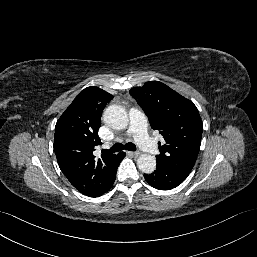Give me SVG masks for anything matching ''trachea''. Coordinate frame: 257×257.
<instances>
[{"mask_svg":"<svg viewBox=\"0 0 257 257\" xmlns=\"http://www.w3.org/2000/svg\"><path fill=\"white\" fill-rule=\"evenodd\" d=\"M123 149L128 151H136V146L131 142L126 143L125 145H123L122 143H116L109 150H105V153L119 152V151H122Z\"/></svg>","mask_w":257,"mask_h":257,"instance_id":"1","label":"trachea"}]
</instances>
